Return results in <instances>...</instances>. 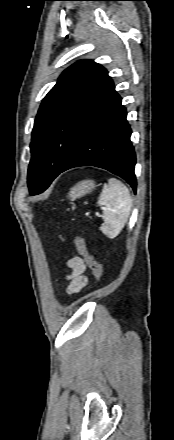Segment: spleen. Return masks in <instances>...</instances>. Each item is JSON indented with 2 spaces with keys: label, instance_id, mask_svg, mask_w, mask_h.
Segmentation results:
<instances>
[{
  "label": "spleen",
  "instance_id": "spleen-1",
  "mask_svg": "<svg viewBox=\"0 0 174 440\" xmlns=\"http://www.w3.org/2000/svg\"><path fill=\"white\" fill-rule=\"evenodd\" d=\"M98 204L104 207L100 230L113 239L122 231L130 215L132 199L129 189L120 180L110 178L103 186Z\"/></svg>",
  "mask_w": 174,
  "mask_h": 440
}]
</instances>
